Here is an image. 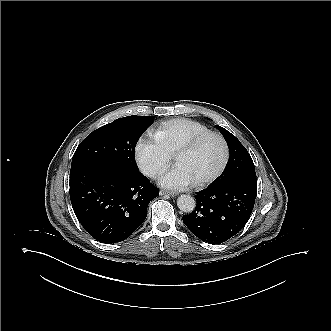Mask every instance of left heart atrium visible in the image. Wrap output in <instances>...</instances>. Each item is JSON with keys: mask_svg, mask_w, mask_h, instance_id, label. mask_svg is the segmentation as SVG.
Here are the masks:
<instances>
[{"mask_svg": "<svg viewBox=\"0 0 331 331\" xmlns=\"http://www.w3.org/2000/svg\"><path fill=\"white\" fill-rule=\"evenodd\" d=\"M162 187L174 190H184L194 184L192 177L181 167L168 170L159 178Z\"/></svg>", "mask_w": 331, "mask_h": 331, "instance_id": "39dd6f15", "label": "left heart atrium"}]
</instances>
